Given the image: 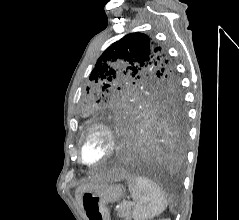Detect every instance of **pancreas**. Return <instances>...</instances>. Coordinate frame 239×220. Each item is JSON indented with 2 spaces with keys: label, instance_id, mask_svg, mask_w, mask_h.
I'll return each mask as SVG.
<instances>
[{
  "label": "pancreas",
  "instance_id": "obj_1",
  "mask_svg": "<svg viewBox=\"0 0 239 220\" xmlns=\"http://www.w3.org/2000/svg\"><path fill=\"white\" fill-rule=\"evenodd\" d=\"M119 217L125 218V220H131V207L130 205L122 204L118 208Z\"/></svg>",
  "mask_w": 239,
  "mask_h": 220
}]
</instances>
